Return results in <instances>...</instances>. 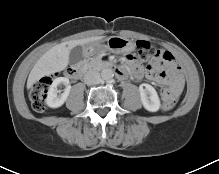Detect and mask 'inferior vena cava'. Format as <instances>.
Here are the masks:
<instances>
[{"mask_svg": "<svg viewBox=\"0 0 219 174\" xmlns=\"http://www.w3.org/2000/svg\"><path fill=\"white\" fill-rule=\"evenodd\" d=\"M100 81H101V76H100V73L97 71L90 70L85 74L84 82L87 85L98 84L100 83Z\"/></svg>", "mask_w": 219, "mask_h": 174, "instance_id": "inferior-vena-cava-1", "label": "inferior vena cava"}]
</instances>
